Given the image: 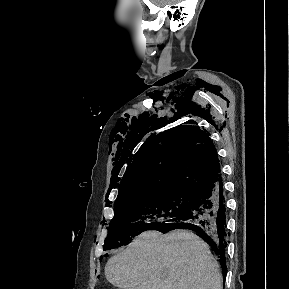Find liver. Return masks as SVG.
Segmentation results:
<instances>
[{
  "label": "liver",
  "instance_id": "obj_1",
  "mask_svg": "<svg viewBox=\"0 0 289 289\" xmlns=\"http://www.w3.org/2000/svg\"><path fill=\"white\" fill-rule=\"evenodd\" d=\"M105 277L119 289H222L208 245L186 230L143 232L108 260Z\"/></svg>",
  "mask_w": 289,
  "mask_h": 289
}]
</instances>
